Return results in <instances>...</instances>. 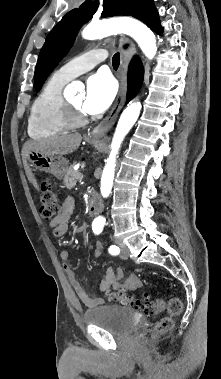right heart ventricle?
I'll use <instances>...</instances> for the list:
<instances>
[{
	"label": "right heart ventricle",
	"instance_id": "1",
	"mask_svg": "<svg viewBox=\"0 0 221 379\" xmlns=\"http://www.w3.org/2000/svg\"><path fill=\"white\" fill-rule=\"evenodd\" d=\"M68 80L53 74L34 98L28 115L27 132L33 139H44L68 131L72 126L65 115L63 88Z\"/></svg>",
	"mask_w": 221,
	"mask_h": 379
}]
</instances>
